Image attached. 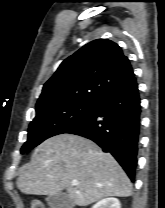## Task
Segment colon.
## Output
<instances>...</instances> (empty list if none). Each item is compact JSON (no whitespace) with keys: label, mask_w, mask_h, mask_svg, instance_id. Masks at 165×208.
Returning a JSON list of instances; mask_svg holds the SVG:
<instances>
[{"label":"colon","mask_w":165,"mask_h":208,"mask_svg":"<svg viewBox=\"0 0 165 208\" xmlns=\"http://www.w3.org/2000/svg\"><path fill=\"white\" fill-rule=\"evenodd\" d=\"M30 208H45L44 205L39 202V201H34L32 204H31V207Z\"/></svg>","instance_id":"1"}]
</instances>
